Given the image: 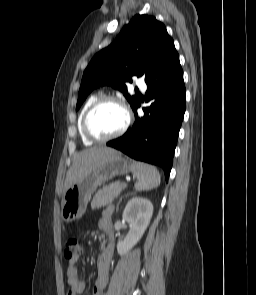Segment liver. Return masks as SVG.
<instances>
[{
    "mask_svg": "<svg viewBox=\"0 0 256 295\" xmlns=\"http://www.w3.org/2000/svg\"><path fill=\"white\" fill-rule=\"evenodd\" d=\"M117 153L108 147H93L79 152L69 168L64 184V193L93 166L102 161L106 156Z\"/></svg>",
    "mask_w": 256,
    "mask_h": 295,
    "instance_id": "6515ba94",
    "label": "liver"
}]
</instances>
